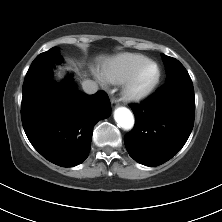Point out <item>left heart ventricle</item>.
<instances>
[{"mask_svg":"<svg viewBox=\"0 0 222 222\" xmlns=\"http://www.w3.org/2000/svg\"><path fill=\"white\" fill-rule=\"evenodd\" d=\"M155 74V68L153 66H147L143 72L141 73V76L139 78L138 85L140 87L146 85L153 77Z\"/></svg>","mask_w":222,"mask_h":222,"instance_id":"b2bd125f","label":"left heart ventricle"}]
</instances>
